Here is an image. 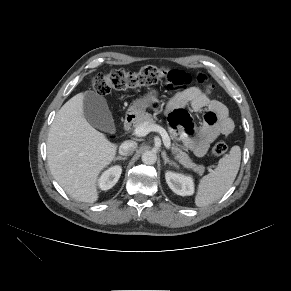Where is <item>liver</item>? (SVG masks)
<instances>
[{
    "mask_svg": "<svg viewBox=\"0 0 291 291\" xmlns=\"http://www.w3.org/2000/svg\"><path fill=\"white\" fill-rule=\"evenodd\" d=\"M84 93L68 100L57 112L47 140L51 174L72 198L98 200V176L115 158L117 145L85 119Z\"/></svg>",
    "mask_w": 291,
    "mask_h": 291,
    "instance_id": "obj_1",
    "label": "liver"
}]
</instances>
